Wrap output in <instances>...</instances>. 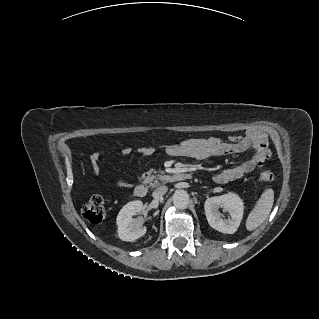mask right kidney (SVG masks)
Wrapping results in <instances>:
<instances>
[{"label":"right kidney","instance_id":"1","mask_svg":"<svg viewBox=\"0 0 319 319\" xmlns=\"http://www.w3.org/2000/svg\"><path fill=\"white\" fill-rule=\"evenodd\" d=\"M143 210V203L140 200L128 202L118 213L116 224L118 226V237L123 241H135L146 233L143 227V218L132 216Z\"/></svg>","mask_w":319,"mask_h":319}]
</instances>
